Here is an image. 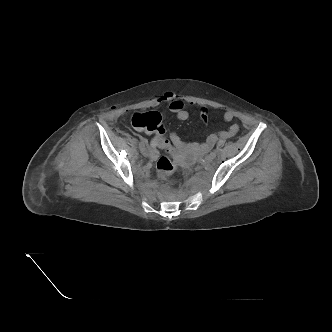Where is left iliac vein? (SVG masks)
I'll return each instance as SVG.
<instances>
[{"label":"left iliac vein","instance_id":"left-iliac-vein-1","mask_svg":"<svg viewBox=\"0 0 332 332\" xmlns=\"http://www.w3.org/2000/svg\"><path fill=\"white\" fill-rule=\"evenodd\" d=\"M213 159H214V157H212V156L209 154V155H207V156L205 157V162H206V163H210V162L213 161Z\"/></svg>","mask_w":332,"mask_h":332}]
</instances>
